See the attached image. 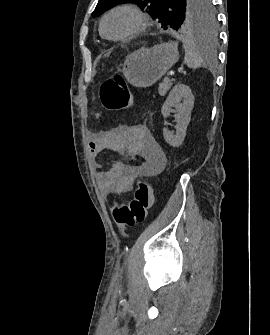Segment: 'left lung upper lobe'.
Returning <instances> with one entry per match:
<instances>
[{
	"label": "left lung upper lobe",
	"mask_w": 270,
	"mask_h": 335,
	"mask_svg": "<svg viewBox=\"0 0 270 335\" xmlns=\"http://www.w3.org/2000/svg\"><path fill=\"white\" fill-rule=\"evenodd\" d=\"M120 3H133L152 15L168 28L180 32L213 30L216 24V12L212 0H99L96 17Z\"/></svg>",
	"instance_id": "5c2ea615"
}]
</instances>
